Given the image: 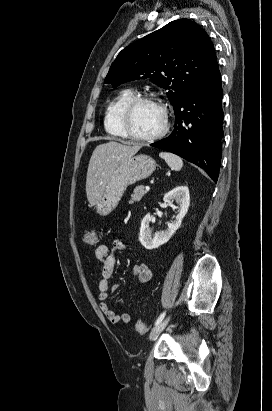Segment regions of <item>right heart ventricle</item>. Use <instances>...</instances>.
Returning a JSON list of instances; mask_svg holds the SVG:
<instances>
[{"instance_id":"right-heart-ventricle-1","label":"right heart ventricle","mask_w":272,"mask_h":411,"mask_svg":"<svg viewBox=\"0 0 272 411\" xmlns=\"http://www.w3.org/2000/svg\"><path fill=\"white\" fill-rule=\"evenodd\" d=\"M134 96L132 89L126 88L121 90L113 100L108 104L104 115V127L108 134L126 138L120 122V114L123 106Z\"/></svg>"}]
</instances>
